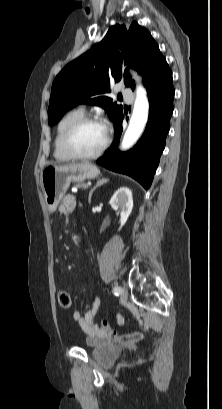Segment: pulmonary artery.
<instances>
[{
  "instance_id": "1",
  "label": "pulmonary artery",
  "mask_w": 222,
  "mask_h": 409,
  "mask_svg": "<svg viewBox=\"0 0 222 409\" xmlns=\"http://www.w3.org/2000/svg\"><path fill=\"white\" fill-rule=\"evenodd\" d=\"M121 93L127 98V100H131L132 99V95L130 93V90L125 88V87H121L120 88Z\"/></svg>"
}]
</instances>
